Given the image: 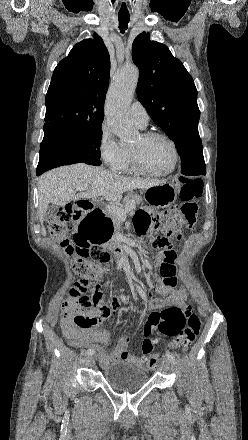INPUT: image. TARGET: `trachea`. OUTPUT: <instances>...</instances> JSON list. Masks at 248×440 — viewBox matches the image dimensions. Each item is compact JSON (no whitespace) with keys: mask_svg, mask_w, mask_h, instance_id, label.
Segmentation results:
<instances>
[{"mask_svg":"<svg viewBox=\"0 0 248 440\" xmlns=\"http://www.w3.org/2000/svg\"><path fill=\"white\" fill-rule=\"evenodd\" d=\"M118 20H119V29L122 33H124L125 30L127 29L130 16L118 14Z\"/></svg>","mask_w":248,"mask_h":440,"instance_id":"3493384b","label":"trachea"}]
</instances>
